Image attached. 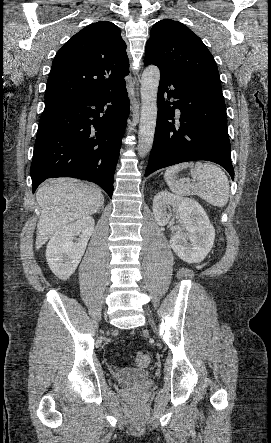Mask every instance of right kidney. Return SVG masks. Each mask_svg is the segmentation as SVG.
<instances>
[{"label": "right kidney", "mask_w": 271, "mask_h": 443, "mask_svg": "<svg viewBox=\"0 0 271 443\" xmlns=\"http://www.w3.org/2000/svg\"><path fill=\"white\" fill-rule=\"evenodd\" d=\"M94 225L95 222L91 216H83L77 222L63 225L60 231L50 237L46 259L51 271L59 279H68L74 273L86 249L88 239L94 231ZM73 239H77L76 243Z\"/></svg>", "instance_id": "ca27d5eb"}]
</instances>
